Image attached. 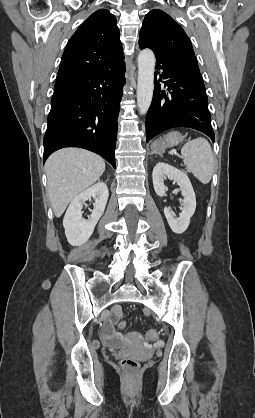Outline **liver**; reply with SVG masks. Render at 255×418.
<instances>
[{"label":"liver","mask_w":255,"mask_h":418,"mask_svg":"<svg viewBox=\"0 0 255 418\" xmlns=\"http://www.w3.org/2000/svg\"><path fill=\"white\" fill-rule=\"evenodd\" d=\"M48 194L56 217L81 192L93 185L105 171V162L97 154L78 148L53 153L45 163Z\"/></svg>","instance_id":"obj_1"}]
</instances>
